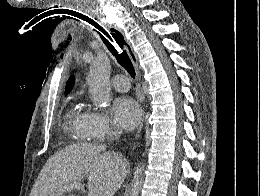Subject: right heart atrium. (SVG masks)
<instances>
[{
  "label": "right heart atrium",
  "instance_id": "obj_1",
  "mask_svg": "<svg viewBox=\"0 0 260 196\" xmlns=\"http://www.w3.org/2000/svg\"><path fill=\"white\" fill-rule=\"evenodd\" d=\"M84 126L87 129H92V130L113 129V126L109 118L107 117V115L97 110H89L86 112Z\"/></svg>",
  "mask_w": 260,
  "mask_h": 196
}]
</instances>
